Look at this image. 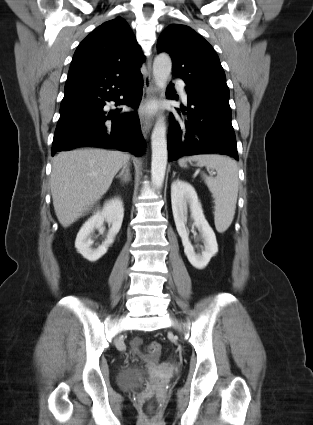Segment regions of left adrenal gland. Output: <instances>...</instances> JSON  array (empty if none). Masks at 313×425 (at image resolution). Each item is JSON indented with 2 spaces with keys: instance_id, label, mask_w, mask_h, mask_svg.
I'll return each instance as SVG.
<instances>
[{
  "instance_id": "left-adrenal-gland-1",
  "label": "left adrenal gland",
  "mask_w": 313,
  "mask_h": 425,
  "mask_svg": "<svg viewBox=\"0 0 313 425\" xmlns=\"http://www.w3.org/2000/svg\"><path fill=\"white\" fill-rule=\"evenodd\" d=\"M175 174H176V172H175V171H173V176H172V177H174V176H175Z\"/></svg>"
}]
</instances>
